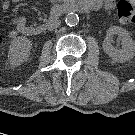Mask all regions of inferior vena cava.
Returning a JSON list of instances; mask_svg holds the SVG:
<instances>
[{
	"mask_svg": "<svg viewBox=\"0 0 135 135\" xmlns=\"http://www.w3.org/2000/svg\"><path fill=\"white\" fill-rule=\"evenodd\" d=\"M60 24H61V21L56 19V20L50 22L47 25V27L49 30H53V29H56Z\"/></svg>",
	"mask_w": 135,
	"mask_h": 135,
	"instance_id": "602c4592",
	"label": "inferior vena cava"
}]
</instances>
